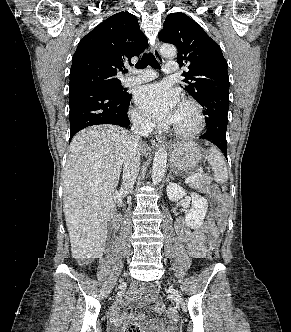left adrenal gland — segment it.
Masks as SVG:
<instances>
[{
	"instance_id": "obj_1",
	"label": "left adrenal gland",
	"mask_w": 291,
	"mask_h": 332,
	"mask_svg": "<svg viewBox=\"0 0 291 332\" xmlns=\"http://www.w3.org/2000/svg\"><path fill=\"white\" fill-rule=\"evenodd\" d=\"M169 178L173 179L171 172L169 173L167 180H169Z\"/></svg>"
}]
</instances>
